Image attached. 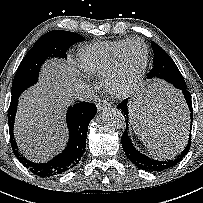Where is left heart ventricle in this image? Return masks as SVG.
Segmentation results:
<instances>
[{
  "mask_svg": "<svg viewBox=\"0 0 203 203\" xmlns=\"http://www.w3.org/2000/svg\"><path fill=\"white\" fill-rule=\"evenodd\" d=\"M144 55L143 46L139 43H134L128 48L121 74L124 83L132 79L136 74L143 63Z\"/></svg>",
  "mask_w": 203,
  "mask_h": 203,
  "instance_id": "obj_1",
  "label": "left heart ventricle"
}]
</instances>
